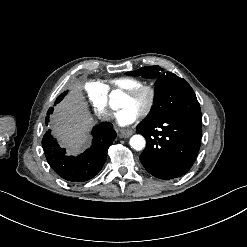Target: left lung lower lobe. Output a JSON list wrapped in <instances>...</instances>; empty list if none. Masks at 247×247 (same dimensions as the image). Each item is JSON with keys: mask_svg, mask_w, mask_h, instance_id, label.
<instances>
[{"mask_svg": "<svg viewBox=\"0 0 247 247\" xmlns=\"http://www.w3.org/2000/svg\"><path fill=\"white\" fill-rule=\"evenodd\" d=\"M137 133L146 138L140 155L144 168L160 179L184 175L198 155L202 121L187 115H174L152 124L140 123Z\"/></svg>", "mask_w": 247, "mask_h": 247, "instance_id": "obj_1", "label": "left lung lower lobe"}]
</instances>
